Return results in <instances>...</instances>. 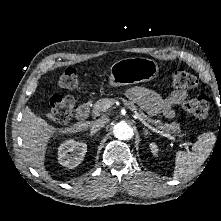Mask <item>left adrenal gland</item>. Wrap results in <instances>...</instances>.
<instances>
[{
	"label": "left adrenal gland",
	"instance_id": "left-adrenal-gland-1",
	"mask_svg": "<svg viewBox=\"0 0 221 221\" xmlns=\"http://www.w3.org/2000/svg\"><path fill=\"white\" fill-rule=\"evenodd\" d=\"M143 130H144L145 135H148V134L150 135V132L145 127H143Z\"/></svg>",
	"mask_w": 221,
	"mask_h": 221
}]
</instances>
